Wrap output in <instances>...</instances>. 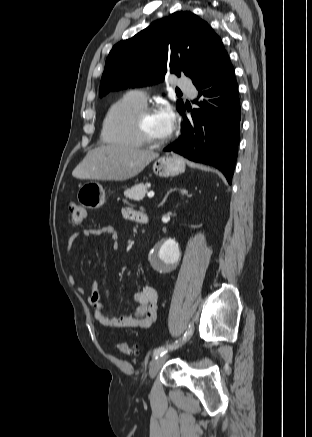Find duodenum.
<instances>
[{
    "label": "duodenum",
    "instance_id": "duodenum-1",
    "mask_svg": "<svg viewBox=\"0 0 312 437\" xmlns=\"http://www.w3.org/2000/svg\"><path fill=\"white\" fill-rule=\"evenodd\" d=\"M149 223V219L148 217L145 215L142 219V224H148Z\"/></svg>",
    "mask_w": 312,
    "mask_h": 437
}]
</instances>
